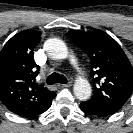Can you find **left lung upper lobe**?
<instances>
[{
  "instance_id": "1",
  "label": "left lung upper lobe",
  "mask_w": 133,
  "mask_h": 133,
  "mask_svg": "<svg viewBox=\"0 0 133 133\" xmlns=\"http://www.w3.org/2000/svg\"><path fill=\"white\" fill-rule=\"evenodd\" d=\"M69 35L90 58L94 93L88 102L119 111L133 90V67L126 54L101 30H70Z\"/></svg>"
}]
</instances>
